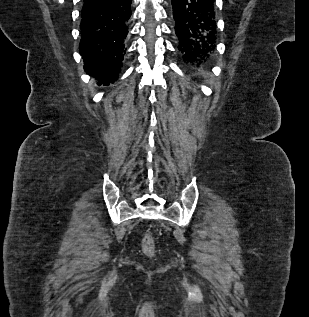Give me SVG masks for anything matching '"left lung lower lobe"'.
Wrapping results in <instances>:
<instances>
[{"label":"left lung lower lobe","mask_w":309,"mask_h":317,"mask_svg":"<svg viewBox=\"0 0 309 317\" xmlns=\"http://www.w3.org/2000/svg\"><path fill=\"white\" fill-rule=\"evenodd\" d=\"M171 1L184 61L191 66H207L217 44L215 0Z\"/></svg>","instance_id":"left-lung-lower-lobe-1"}]
</instances>
